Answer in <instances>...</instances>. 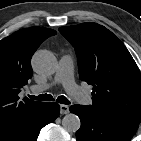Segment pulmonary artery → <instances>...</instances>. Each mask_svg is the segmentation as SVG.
Returning <instances> with one entry per match:
<instances>
[{"instance_id":"obj_1","label":"pulmonary artery","mask_w":141,"mask_h":141,"mask_svg":"<svg viewBox=\"0 0 141 141\" xmlns=\"http://www.w3.org/2000/svg\"><path fill=\"white\" fill-rule=\"evenodd\" d=\"M62 84L66 92L79 103L87 105L90 103V96L82 90L73 78V60L70 55H63L58 63L57 71L52 83L44 85H35L32 87L34 93L42 92L53 84Z\"/></svg>"}]
</instances>
